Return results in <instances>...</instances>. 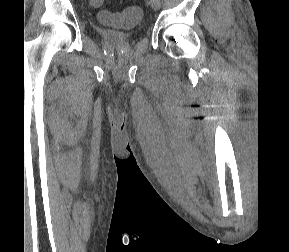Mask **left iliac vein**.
Returning <instances> with one entry per match:
<instances>
[{
	"label": "left iliac vein",
	"mask_w": 289,
	"mask_h": 252,
	"mask_svg": "<svg viewBox=\"0 0 289 252\" xmlns=\"http://www.w3.org/2000/svg\"><path fill=\"white\" fill-rule=\"evenodd\" d=\"M150 4L154 10H158L161 6V0H150Z\"/></svg>",
	"instance_id": "1"
}]
</instances>
